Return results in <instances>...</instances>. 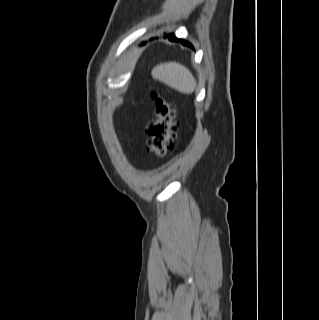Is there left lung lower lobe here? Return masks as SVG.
Returning <instances> with one entry per match:
<instances>
[{"label": "left lung lower lobe", "instance_id": "1", "mask_svg": "<svg viewBox=\"0 0 319 320\" xmlns=\"http://www.w3.org/2000/svg\"><path fill=\"white\" fill-rule=\"evenodd\" d=\"M169 39L172 40V41H179V42H181L183 45L192 47V45H191L190 43H188V42H186V41H184V40H182V39H177L174 34H170V35H169Z\"/></svg>", "mask_w": 319, "mask_h": 320}]
</instances>
